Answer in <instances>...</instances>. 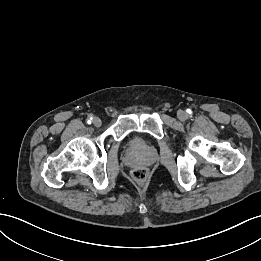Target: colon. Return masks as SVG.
Returning a JSON list of instances; mask_svg holds the SVG:
<instances>
[{
	"label": "colon",
	"instance_id": "colon-1",
	"mask_svg": "<svg viewBox=\"0 0 261 261\" xmlns=\"http://www.w3.org/2000/svg\"><path fill=\"white\" fill-rule=\"evenodd\" d=\"M132 177L137 182H143L147 177V171L144 168H137L132 172Z\"/></svg>",
	"mask_w": 261,
	"mask_h": 261
}]
</instances>
